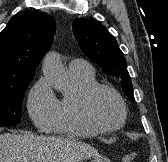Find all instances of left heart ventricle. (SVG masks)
Masks as SVG:
<instances>
[{
    "label": "left heart ventricle",
    "mask_w": 168,
    "mask_h": 162,
    "mask_svg": "<svg viewBox=\"0 0 168 162\" xmlns=\"http://www.w3.org/2000/svg\"><path fill=\"white\" fill-rule=\"evenodd\" d=\"M91 112L95 120L104 126H113L121 119V109L113 94L98 91L91 100Z\"/></svg>",
    "instance_id": "left-heart-ventricle-1"
}]
</instances>
